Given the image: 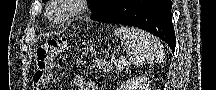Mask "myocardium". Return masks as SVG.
<instances>
[{"label": "myocardium", "instance_id": "1", "mask_svg": "<svg viewBox=\"0 0 216 90\" xmlns=\"http://www.w3.org/2000/svg\"><path fill=\"white\" fill-rule=\"evenodd\" d=\"M92 0H53L51 11L48 12V21L53 26H61L76 16L82 14L86 9V5L77 3H91Z\"/></svg>", "mask_w": 216, "mask_h": 90}]
</instances>
